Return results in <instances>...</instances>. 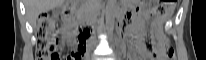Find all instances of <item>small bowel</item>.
I'll return each instance as SVG.
<instances>
[{"mask_svg": "<svg viewBox=\"0 0 206 60\" xmlns=\"http://www.w3.org/2000/svg\"><path fill=\"white\" fill-rule=\"evenodd\" d=\"M130 17V13L128 12L127 15H126V18H129ZM140 51H141V55H144L145 53V48L143 46L140 47Z\"/></svg>", "mask_w": 206, "mask_h": 60, "instance_id": "obj_1", "label": "small bowel"}]
</instances>
